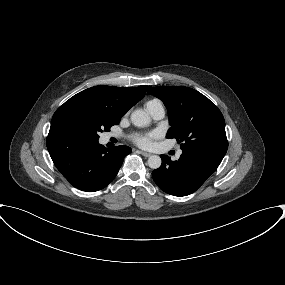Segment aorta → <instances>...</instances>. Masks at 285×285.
Returning <instances> with one entry per match:
<instances>
[{
    "label": "aorta",
    "mask_w": 285,
    "mask_h": 285,
    "mask_svg": "<svg viewBox=\"0 0 285 285\" xmlns=\"http://www.w3.org/2000/svg\"><path fill=\"white\" fill-rule=\"evenodd\" d=\"M131 121L137 127H146L150 124L151 119L147 112L141 109L134 110L131 114ZM162 160L158 155H151L148 158V166L152 169H158Z\"/></svg>",
    "instance_id": "obj_1"
}]
</instances>
